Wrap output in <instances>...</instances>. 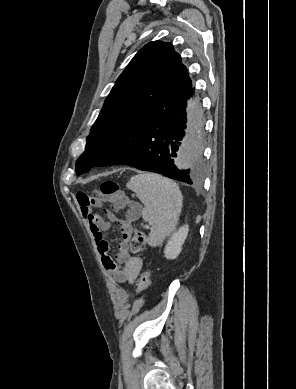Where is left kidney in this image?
Returning <instances> with one entry per match:
<instances>
[{"label":"left kidney","mask_w":296,"mask_h":389,"mask_svg":"<svg viewBox=\"0 0 296 389\" xmlns=\"http://www.w3.org/2000/svg\"><path fill=\"white\" fill-rule=\"evenodd\" d=\"M188 231L189 226L184 225L171 236L164 249V255L167 259H176L178 257L182 251V245L187 238Z\"/></svg>","instance_id":"left-kidney-1"}]
</instances>
